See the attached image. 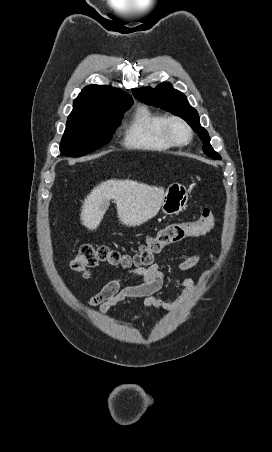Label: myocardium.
Returning a JSON list of instances; mask_svg holds the SVG:
<instances>
[{"label": "myocardium", "mask_w": 272, "mask_h": 452, "mask_svg": "<svg viewBox=\"0 0 272 452\" xmlns=\"http://www.w3.org/2000/svg\"><path fill=\"white\" fill-rule=\"evenodd\" d=\"M174 124H179L184 128V130L186 132V138L184 140L180 141L175 138L173 131H172ZM164 133H165L167 140L174 146L187 145L193 137V131H192L191 126L188 124V122L185 119H183L182 117L177 116V115H171L166 118L165 123H164Z\"/></svg>", "instance_id": "f54148a6"}]
</instances>
